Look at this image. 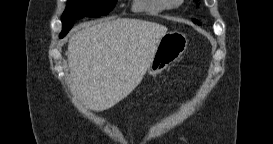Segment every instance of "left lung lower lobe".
Wrapping results in <instances>:
<instances>
[{
    "label": "left lung lower lobe",
    "instance_id": "0a47b994",
    "mask_svg": "<svg viewBox=\"0 0 273 144\" xmlns=\"http://www.w3.org/2000/svg\"><path fill=\"white\" fill-rule=\"evenodd\" d=\"M194 23H197L198 25H201V23L197 20H194Z\"/></svg>",
    "mask_w": 273,
    "mask_h": 144
}]
</instances>
